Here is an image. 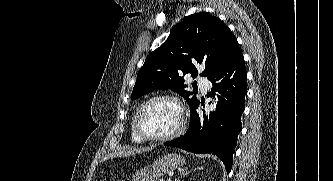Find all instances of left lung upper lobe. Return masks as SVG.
<instances>
[{"label":"left lung upper lobe","mask_w":333,"mask_h":181,"mask_svg":"<svg viewBox=\"0 0 333 181\" xmlns=\"http://www.w3.org/2000/svg\"><path fill=\"white\" fill-rule=\"evenodd\" d=\"M236 37L222 21L207 12L187 16L170 33L168 39L149 54L137 74L131 99L154 90L171 89L181 95L190 109L199 104L186 90L183 76L198 75V65L208 78L220 68L238 48Z\"/></svg>","instance_id":"5c2ea615"}]
</instances>
